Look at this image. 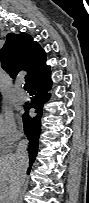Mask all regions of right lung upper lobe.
<instances>
[{"label":"right lung upper lobe","instance_id":"1","mask_svg":"<svg viewBox=\"0 0 89 203\" xmlns=\"http://www.w3.org/2000/svg\"><path fill=\"white\" fill-rule=\"evenodd\" d=\"M2 68L12 78L22 70L27 71L26 82L30 85L38 76L50 69L46 65L45 51L26 33H9L0 50Z\"/></svg>","mask_w":89,"mask_h":203}]
</instances>
